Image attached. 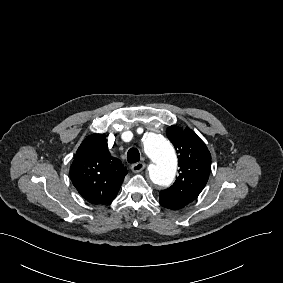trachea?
<instances>
[{
    "label": "trachea",
    "instance_id": "trachea-1",
    "mask_svg": "<svg viewBox=\"0 0 283 283\" xmlns=\"http://www.w3.org/2000/svg\"><path fill=\"white\" fill-rule=\"evenodd\" d=\"M127 161L129 163H137L140 161V153L136 148H130L127 152Z\"/></svg>",
    "mask_w": 283,
    "mask_h": 283
}]
</instances>
